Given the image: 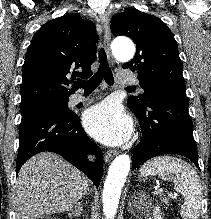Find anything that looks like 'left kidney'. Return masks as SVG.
<instances>
[{
  "label": "left kidney",
  "mask_w": 211,
  "mask_h": 219,
  "mask_svg": "<svg viewBox=\"0 0 211 219\" xmlns=\"http://www.w3.org/2000/svg\"><path fill=\"white\" fill-rule=\"evenodd\" d=\"M147 219H162L160 208L159 207L153 208L152 211L148 214Z\"/></svg>",
  "instance_id": "left-kidney-1"
}]
</instances>
